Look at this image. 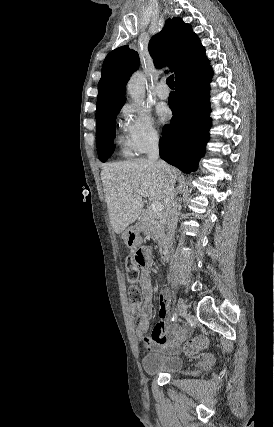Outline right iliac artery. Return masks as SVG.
I'll use <instances>...</instances> for the list:
<instances>
[{
    "instance_id": "obj_1",
    "label": "right iliac artery",
    "mask_w": 274,
    "mask_h": 427,
    "mask_svg": "<svg viewBox=\"0 0 274 427\" xmlns=\"http://www.w3.org/2000/svg\"><path fill=\"white\" fill-rule=\"evenodd\" d=\"M177 318H178V315H177V313H176V312H174V313H173V316H172V321H173V322H176V321H177Z\"/></svg>"
}]
</instances>
